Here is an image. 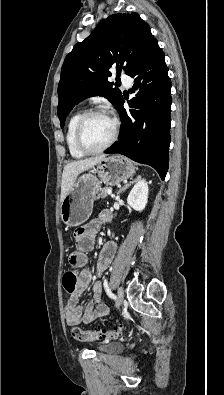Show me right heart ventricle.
Masks as SVG:
<instances>
[{
    "label": "right heart ventricle",
    "mask_w": 224,
    "mask_h": 395,
    "mask_svg": "<svg viewBox=\"0 0 224 395\" xmlns=\"http://www.w3.org/2000/svg\"><path fill=\"white\" fill-rule=\"evenodd\" d=\"M83 114V111L78 110L74 112L71 117L68 120L67 123V130H66V144L68 147V150L71 154V156L75 159H80L83 158L86 154L83 153L76 145L75 141V131H76V125Z\"/></svg>",
    "instance_id": "e07e8e85"
}]
</instances>
